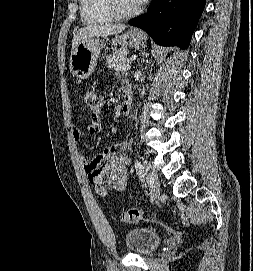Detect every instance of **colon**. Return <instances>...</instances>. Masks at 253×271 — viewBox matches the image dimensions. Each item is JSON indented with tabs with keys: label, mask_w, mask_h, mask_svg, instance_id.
Here are the masks:
<instances>
[{
	"label": "colon",
	"mask_w": 253,
	"mask_h": 271,
	"mask_svg": "<svg viewBox=\"0 0 253 271\" xmlns=\"http://www.w3.org/2000/svg\"><path fill=\"white\" fill-rule=\"evenodd\" d=\"M83 96L85 103L92 111V113L93 114L99 113L102 108L101 96L94 90H86ZM142 217L143 212L139 207H130L121 214L120 219L124 223H135L140 221Z\"/></svg>",
	"instance_id": "colon-1"
}]
</instances>
